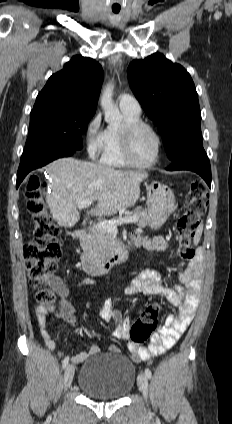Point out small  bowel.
<instances>
[{"label":"small bowel","mask_w":232,"mask_h":424,"mask_svg":"<svg viewBox=\"0 0 232 424\" xmlns=\"http://www.w3.org/2000/svg\"><path fill=\"white\" fill-rule=\"evenodd\" d=\"M132 238L137 242L138 246L152 251H166L170 246V242L163 237H154L150 239L135 232L132 234ZM202 272V256L198 254L191 260L189 266L178 274V280L185 286V291L173 282H166L156 271L142 272L126 289L125 293L128 296H134L139 293L160 296L167 299L172 305L178 308V312L166 317L164 324L151 337L150 343L147 346H141L130 342V319L124 318L119 310L113 309L110 301L104 303L100 311V316L105 322L113 323L112 335L116 339L128 341L130 358L133 362L151 361L154 357L164 354L176 344L186 331L198 308ZM56 281L55 289L57 293L65 297L68 294V288L61 280L56 279ZM91 283V280L83 279L79 281L78 285H87ZM34 311L43 340L50 349L55 348L56 340L47 326V307L42 304H37ZM60 316L70 325L76 324L74 308L66 301L62 304ZM109 351L116 354L120 352V348L117 345H111ZM99 352V346L92 344L88 352L76 354L73 357V361L80 363L89 355H96Z\"/></svg>","instance_id":"1"}]
</instances>
